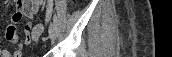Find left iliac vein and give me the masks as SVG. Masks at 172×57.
Wrapping results in <instances>:
<instances>
[{"instance_id":"left-iliac-vein-1","label":"left iliac vein","mask_w":172,"mask_h":57,"mask_svg":"<svg viewBox=\"0 0 172 57\" xmlns=\"http://www.w3.org/2000/svg\"><path fill=\"white\" fill-rule=\"evenodd\" d=\"M58 27L55 24H51L49 27V36L54 39L57 36Z\"/></svg>"}]
</instances>
